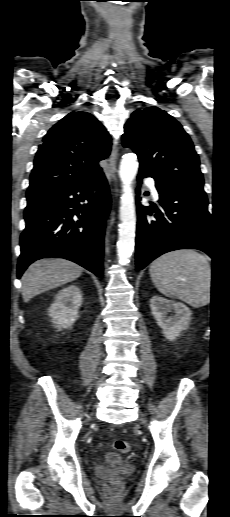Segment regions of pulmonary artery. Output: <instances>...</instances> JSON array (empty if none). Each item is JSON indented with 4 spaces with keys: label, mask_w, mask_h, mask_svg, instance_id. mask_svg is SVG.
<instances>
[{
    "label": "pulmonary artery",
    "mask_w": 230,
    "mask_h": 517,
    "mask_svg": "<svg viewBox=\"0 0 230 517\" xmlns=\"http://www.w3.org/2000/svg\"><path fill=\"white\" fill-rule=\"evenodd\" d=\"M146 183L148 184V186L150 187V190H151V193H152V196L155 198V199H159V193L155 187V182L153 179H146Z\"/></svg>",
    "instance_id": "e3ab8cb5"
}]
</instances>
